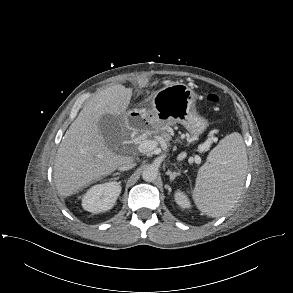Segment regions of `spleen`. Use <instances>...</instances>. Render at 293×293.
I'll return each instance as SVG.
<instances>
[{
	"label": "spleen",
	"mask_w": 293,
	"mask_h": 293,
	"mask_svg": "<svg viewBox=\"0 0 293 293\" xmlns=\"http://www.w3.org/2000/svg\"><path fill=\"white\" fill-rule=\"evenodd\" d=\"M246 147L241 134L224 137L209 153L198 171L192 197L198 209L210 217L231 210L240 197L247 168Z\"/></svg>",
	"instance_id": "obj_1"
}]
</instances>
